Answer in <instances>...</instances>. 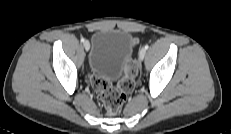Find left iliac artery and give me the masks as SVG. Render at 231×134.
<instances>
[{
  "label": "left iliac artery",
  "instance_id": "44dca946",
  "mask_svg": "<svg viewBox=\"0 0 231 134\" xmlns=\"http://www.w3.org/2000/svg\"><path fill=\"white\" fill-rule=\"evenodd\" d=\"M144 48L147 50V49L149 48V45L146 44V45L144 46Z\"/></svg>",
  "mask_w": 231,
  "mask_h": 134
}]
</instances>
